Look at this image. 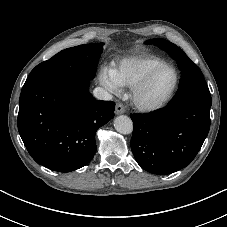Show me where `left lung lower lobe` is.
Returning a JSON list of instances; mask_svg holds the SVG:
<instances>
[{
  "label": "left lung lower lobe",
  "mask_w": 227,
  "mask_h": 227,
  "mask_svg": "<svg viewBox=\"0 0 227 227\" xmlns=\"http://www.w3.org/2000/svg\"><path fill=\"white\" fill-rule=\"evenodd\" d=\"M210 107L185 103L150 114H131V150L146 171L167 175L188 166L210 129Z\"/></svg>",
  "instance_id": "0a47b994"
}]
</instances>
